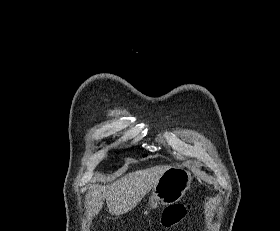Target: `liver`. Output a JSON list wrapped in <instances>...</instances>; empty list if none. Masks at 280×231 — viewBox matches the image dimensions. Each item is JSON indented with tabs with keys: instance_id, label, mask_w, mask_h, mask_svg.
I'll use <instances>...</instances> for the list:
<instances>
[{
	"instance_id": "1",
	"label": "liver",
	"mask_w": 280,
	"mask_h": 231,
	"mask_svg": "<svg viewBox=\"0 0 280 231\" xmlns=\"http://www.w3.org/2000/svg\"><path fill=\"white\" fill-rule=\"evenodd\" d=\"M170 167L171 165H155V167H147V169H137V171L127 173L113 181L103 193L102 189H93L88 201L90 211L97 215L103 205L104 197H106L110 213L113 215L127 213L136 207L138 201H141L152 187H155L158 179Z\"/></svg>"
}]
</instances>
